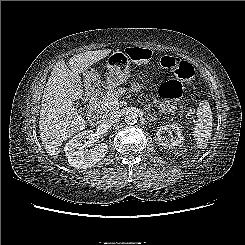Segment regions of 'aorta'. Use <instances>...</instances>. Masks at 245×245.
Masks as SVG:
<instances>
[{"label": "aorta", "instance_id": "obj_1", "mask_svg": "<svg viewBox=\"0 0 245 245\" xmlns=\"http://www.w3.org/2000/svg\"><path fill=\"white\" fill-rule=\"evenodd\" d=\"M127 124L133 125L138 121V115L135 112H127L124 118Z\"/></svg>", "mask_w": 245, "mask_h": 245}]
</instances>
